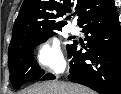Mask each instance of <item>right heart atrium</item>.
<instances>
[{"instance_id": "d8ad5b80", "label": "right heart atrium", "mask_w": 121, "mask_h": 94, "mask_svg": "<svg viewBox=\"0 0 121 94\" xmlns=\"http://www.w3.org/2000/svg\"><path fill=\"white\" fill-rule=\"evenodd\" d=\"M35 57L38 65L49 71L62 73L66 68L64 56L56 39L40 45L36 50Z\"/></svg>"}]
</instances>
